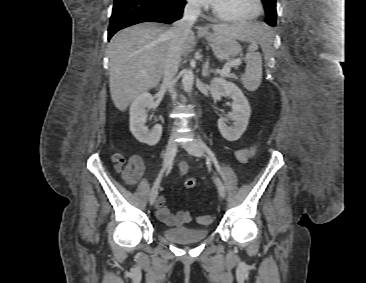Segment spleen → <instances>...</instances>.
<instances>
[{
    "label": "spleen",
    "instance_id": "1",
    "mask_svg": "<svg viewBox=\"0 0 366 283\" xmlns=\"http://www.w3.org/2000/svg\"><path fill=\"white\" fill-rule=\"evenodd\" d=\"M258 50V42L251 41L246 54V70L241 77L244 87L248 91H255L262 81V57Z\"/></svg>",
    "mask_w": 366,
    "mask_h": 283
}]
</instances>
